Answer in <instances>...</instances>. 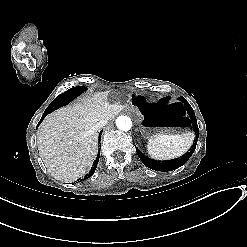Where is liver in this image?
Wrapping results in <instances>:
<instances>
[{
    "mask_svg": "<svg viewBox=\"0 0 247 247\" xmlns=\"http://www.w3.org/2000/svg\"><path fill=\"white\" fill-rule=\"evenodd\" d=\"M123 109L108 92L87 97L86 102L64 107L48 115L37 131L40 157L52 177L76 181L92 165L97 154L96 123L113 120Z\"/></svg>",
    "mask_w": 247,
    "mask_h": 247,
    "instance_id": "liver-1",
    "label": "liver"
}]
</instances>
